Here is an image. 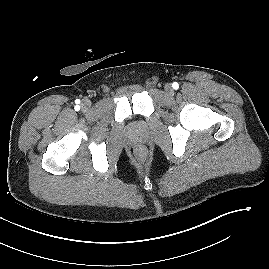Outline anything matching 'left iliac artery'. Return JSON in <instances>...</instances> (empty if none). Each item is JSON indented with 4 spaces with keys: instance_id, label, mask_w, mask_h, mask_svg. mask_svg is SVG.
Listing matches in <instances>:
<instances>
[{
    "instance_id": "44dca946",
    "label": "left iliac artery",
    "mask_w": 269,
    "mask_h": 269,
    "mask_svg": "<svg viewBox=\"0 0 269 269\" xmlns=\"http://www.w3.org/2000/svg\"><path fill=\"white\" fill-rule=\"evenodd\" d=\"M172 87H173L174 89H178V88H179V84H178L177 82H174V83L172 84Z\"/></svg>"
}]
</instances>
